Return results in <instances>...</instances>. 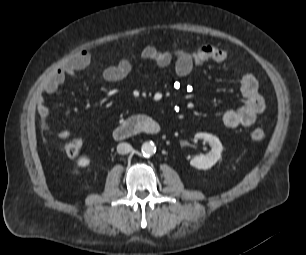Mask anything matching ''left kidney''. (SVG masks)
<instances>
[{"instance_id": "obj_1", "label": "left kidney", "mask_w": 306, "mask_h": 255, "mask_svg": "<svg viewBox=\"0 0 306 255\" xmlns=\"http://www.w3.org/2000/svg\"><path fill=\"white\" fill-rule=\"evenodd\" d=\"M199 139L206 141L210 145L211 150L205 155H196L194 158L191 159L190 165L198 169L206 170L215 165L220 159L223 146L219 138L212 134L197 133L194 137V141H197Z\"/></svg>"}]
</instances>
